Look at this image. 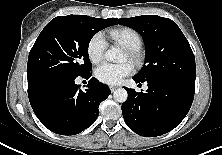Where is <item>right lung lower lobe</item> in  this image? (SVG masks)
<instances>
[{
  "label": "right lung lower lobe",
  "mask_w": 222,
  "mask_h": 155,
  "mask_svg": "<svg viewBox=\"0 0 222 155\" xmlns=\"http://www.w3.org/2000/svg\"><path fill=\"white\" fill-rule=\"evenodd\" d=\"M92 73L83 77L89 79ZM111 91L92 77L85 90L75 84V78L54 83L38 98H29L37 118L50 131L61 135H76L94 123L99 105Z\"/></svg>",
  "instance_id": "obj_1"
}]
</instances>
